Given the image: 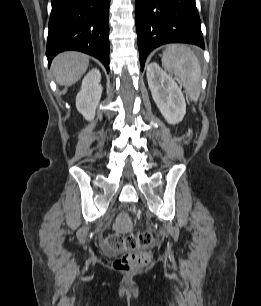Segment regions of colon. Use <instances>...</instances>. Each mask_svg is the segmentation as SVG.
I'll use <instances>...</instances> for the list:
<instances>
[{"label":"colon","mask_w":261,"mask_h":306,"mask_svg":"<svg viewBox=\"0 0 261 306\" xmlns=\"http://www.w3.org/2000/svg\"><path fill=\"white\" fill-rule=\"evenodd\" d=\"M114 226L116 233L106 237V246L111 250L126 253L114 260L113 268L122 272L145 268L150 256L142 249L155 242V235L151 231L132 234L133 221L127 213H120L114 221Z\"/></svg>","instance_id":"obj_1"}]
</instances>
